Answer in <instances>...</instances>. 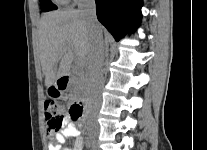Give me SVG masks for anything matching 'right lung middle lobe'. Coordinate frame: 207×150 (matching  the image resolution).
Returning a JSON list of instances; mask_svg holds the SVG:
<instances>
[{
  "instance_id": "1",
  "label": "right lung middle lobe",
  "mask_w": 207,
  "mask_h": 150,
  "mask_svg": "<svg viewBox=\"0 0 207 150\" xmlns=\"http://www.w3.org/2000/svg\"><path fill=\"white\" fill-rule=\"evenodd\" d=\"M40 7L43 12L57 9V6L54 5L50 0H40Z\"/></svg>"
}]
</instances>
